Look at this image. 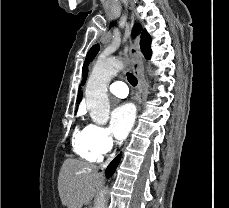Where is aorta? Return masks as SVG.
<instances>
[{"mask_svg": "<svg viewBox=\"0 0 229 208\" xmlns=\"http://www.w3.org/2000/svg\"><path fill=\"white\" fill-rule=\"evenodd\" d=\"M123 68V63L116 59L98 61L88 79L85 89L86 105L92 120L100 125L107 123L110 104L107 85ZM108 188L101 190L96 197L94 208H106Z\"/></svg>", "mask_w": 229, "mask_h": 208, "instance_id": "obj_1", "label": "aorta"}]
</instances>
